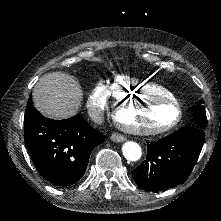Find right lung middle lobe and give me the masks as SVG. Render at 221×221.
<instances>
[{
  "mask_svg": "<svg viewBox=\"0 0 221 221\" xmlns=\"http://www.w3.org/2000/svg\"><path fill=\"white\" fill-rule=\"evenodd\" d=\"M27 105H32L31 99L28 101Z\"/></svg>",
  "mask_w": 221,
  "mask_h": 221,
  "instance_id": "obj_1",
  "label": "right lung middle lobe"
}]
</instances>
